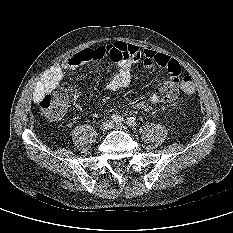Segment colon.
Here are the masks:
<instances>
[{
  "instance_id": "1",
  "label": "colon",
  "mask_w": 233,
  "mask_h": 233,
  "mask_svg": "<svg viewBox=\"0 0 233 233\" xmlns=\"http://www.w3.org/2000/svg\"><path fill=\"white\" fill-rule=\"evenodd\" d=\"M181 90L186 94H192L195 86L191 76L184 73L180 79ZM68 94L66 90H58L54 93H46L39 99V106L49 118H58L64 112Z\"/></svg>"
}]
</instances>
